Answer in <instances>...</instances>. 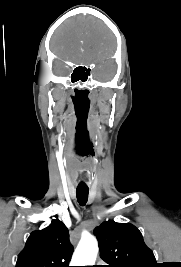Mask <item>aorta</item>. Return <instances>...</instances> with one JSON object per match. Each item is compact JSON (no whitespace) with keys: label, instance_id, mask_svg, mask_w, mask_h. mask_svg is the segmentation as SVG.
I'll list each match as a JSON object with an SVG mask.
<instances>
[{"label":"aorta","instance_id":"762f6f07","mask_svg":"<svg viewBox=\"0 0 181 267\" xmlns=\"http://www.w3.org/2000/svg\"><path fill=\"white\" fill-rule=\"evenodd\" d=\"M98 242L92 235L82 236L72 257L73 266H89L96 261Z\"/></svg>","mask_w":181,"mask_h":267}]
</instances>
